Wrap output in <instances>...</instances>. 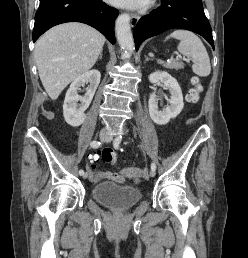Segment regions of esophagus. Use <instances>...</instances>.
<instances>
[{
  "label": "esophagus",
  "instance_id": "1",
  "mask_svg": "<svg viewBox=\"0 0 248 258\" xmlns=\"http://www.w3.org/2000/svg\"><path fill=\"white\" fill-rule=\"evenodd\" d=\"M139 20V16L135 13L131 14V25L134 27Z\"/></svg>",
  "mask_w": 248,
  "mask_h": 258
}]
</instances>
